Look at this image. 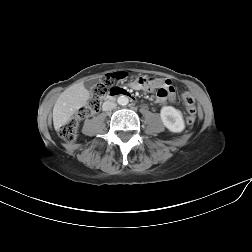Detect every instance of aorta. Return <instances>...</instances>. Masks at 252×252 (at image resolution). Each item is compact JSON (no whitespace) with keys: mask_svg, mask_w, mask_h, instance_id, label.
Segmentation results:
<instances>
[{"mask_svg":"<svg viewBox=\"0 0 252 252\" xmlns=\"http://www.w3.org/2000/svg\"><path fill=\"white\" fill-rule=\"evenodd\" d=\"M117 102L119 105H126L128 103V98L126 96H120Z\"/></svg>","mask_w":252,"mask_h":252,"instance_id":"aorta-1","label":"aorta"}]
</instances>
